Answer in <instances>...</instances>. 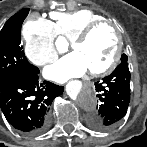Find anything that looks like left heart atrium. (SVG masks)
Here are the masks:
<instances>
[{
  "label": "left heart atrium",
  "instance_id": "39dd6f15",
  "mask_svg": "<svg viewBox=\"0 0 147 147\" xmlns=\"http://www.w3.org/2000/svg\"><path fill=\"white\" fill-rule=\"evenodd\" d=\"M88 68L77 52H72L45 69V76L59 83L80 77Z\"/></svg>",
  "mask_w": 147,
  "mask_h": 147
}]
</instances>
